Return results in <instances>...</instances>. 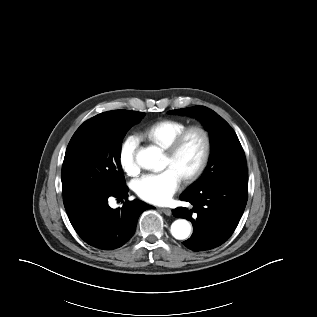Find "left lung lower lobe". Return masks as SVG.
Here are the masks:
<instances>
[{
	"label": "left lung lower lobe",
	"instance_id": "0a47b994",
	"mask_svg": "<svg viewBox=\"0 0 317 317\" xmlns=\"http://www.w3.org/2000/svg\"><path fill=\"white\" fill-rule=\"evenodd\" d=\"M247 178H233L184 191L180 199L193 208L178 207L175 217L186 218L193 224L192 236L183 244L192 251L216 248L226 242L237 227L247 203Z\"/></svg>",
	"mask_w": 317,
	"mask_h": 317
}]
</instances>
